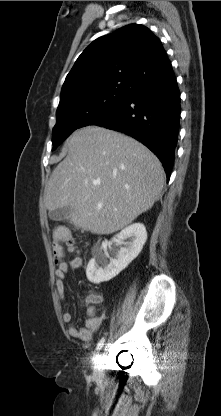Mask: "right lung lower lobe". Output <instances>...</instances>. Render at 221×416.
Instances as JSON below:
<instances>
[{"instance_id":"98d812e1","label":"right lung lower lobe","mask_w":221,"mask_h":416,"mask_svg":"<svg viewBox=\"0 0 221 416\" xmlns=\"http://www.w3.org/2000/svg\"><path fill=\"white\" fill-rule=\"evenodd\" d=\"M180 109V92L171 67L165 79L132 90L110 116L92 125L126 133L142 142L160 159L169 180Z\"/></svg>"}]
</instances>
